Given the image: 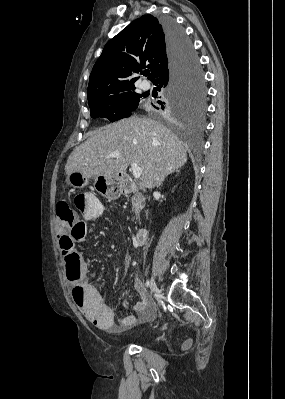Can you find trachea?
Segmentation results:
<instances>
[{
  "label": "trachea",
  "mask_w": 285,
  "mask_h": 399,
  "mask_svg": "<svg viewBox=\"0 0 285 399\" xmlns=\"http://www.w3.org/2000/svg\"><path fill=\"white\" fill-rule=\"evenodd\" d=\"M149 73H150V71L148 70V71H146L145 75H149Z\"/></svg>",
  "instance_id": "1"
}]
</instances>
